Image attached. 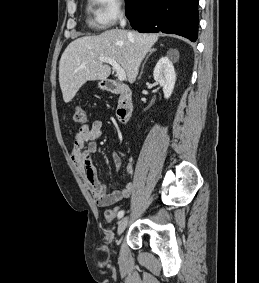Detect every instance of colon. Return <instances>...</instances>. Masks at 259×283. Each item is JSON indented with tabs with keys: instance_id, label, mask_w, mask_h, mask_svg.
<instances>
[{
	"instance_id": "1",
	"label": "colon",
	"mask_w": 259,
	"mask_h": 283,
	"mask_svg": "<svg viewBox=\"0 0 259 283\" xmlns=\"http://www.w3.org/2000/svg\"><path fill=\"white\" fill-rule=\"evenodd\" d=\"M74 121L76 123H85L87 121V116L84 107L76 106L74 110ZM116 216V211H109L107 213V219L113 220Z\"/></svg>"
}]
</instances>
